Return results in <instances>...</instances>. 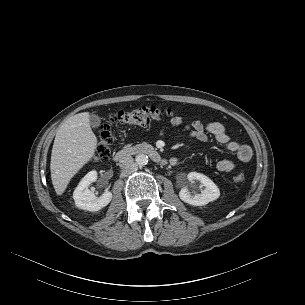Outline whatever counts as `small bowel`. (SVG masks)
Returning <instances> with one entry per match:
<instances>
[{"label": "small bowel", "mask_w": 305, "mask_h": 305, "mask_svg": "<svg viewBox=\"0 0 305 305\" xmlns=\"http://www.w3.org/2000/svg\"><path fill=\"white\" fill-rule=\"evenodd\" d=\"M185 123L186 121L183 117H172L169 123L161 128L160 134L165 135L169 128H174ZM184 131L200 142H206L209 135H212L227 151L236 154L237 161L224 159L215 164V169L219 172H233L238 168L240 163H247L252 158L251 148L248 145H243L232 140L225 126L220 122L204 124L201 120H195L191 123H186ZM180 162L181 160L178 157H172L170 159V163L173 166L179 165Z\"/></svg>", "instance_id": "obj_1"}]
</instances>
